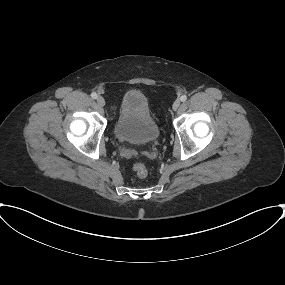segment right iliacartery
Wrapping results in <instances>:
<instances>
[{
  "label": "right iliac artery",
  "instance_id": "82829eb1",
  "mask_svg": "<svg viewBox=\"0 0 285 285\" xmlns=\"http://www.w3.org/2000/svg\"><path fill=\"white\" fill-rule=\"evenodd\" d=\"M91 97H92L93 99H96V98H97V94H96L95 92H93V93L91 94Z\"/></svg>",
  "mask_w": 285,
  "mask_h": 285
}]
</instances>
